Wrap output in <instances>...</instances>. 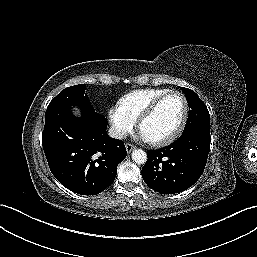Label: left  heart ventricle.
<instances>
[{"label": "left heart ventricle", "mask_w": 257, "mask_h": 257, "mask_svg": "<svg viewBox=\"0 0 257 257\" xmlns=\"http://www.w3.org/2000/svg\"><path fill=\"white\" fill-rule=\"evenodd\" d=\"M183 115V101L179 95L165 99L155 113L141 126L140 132L150 141L170 135L178 126Z\"/></svg>", "instance_id": "1"}]
</instances>
